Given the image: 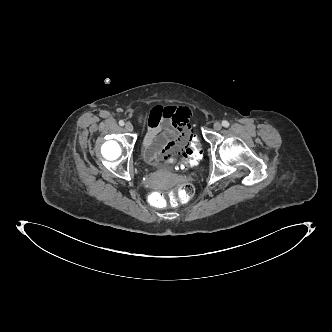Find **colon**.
Masks as SVG:
<instances>
[{
  "label": "colon",
  "mask_w": 332,
  "mask_h": 332,
  "mask_svg": "<svg viewBox=\"0 0 332 332\" xmlns=\"http://www.w3.org/2000/svg\"><path fill=\"white\" fill-rule=\"evenodd\" d=\"M190 132L193 135L190 137L188 147L180 156V161L178 159H173L170 162V167L173 170L196 166L202 157V150L200 146L203 144V137L199 134L201 132V124L198 121H193L190 124ZM193 195L194 186L191 183H185L169 196V201L170 203L177 204L179 202L190 200ZM150 202L155 207H164L168 200L164 193L154 192L150 196Z\"/></svg>",
  "instance_id": "1"
}]
</instances>
